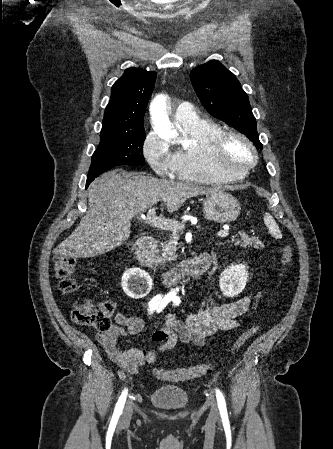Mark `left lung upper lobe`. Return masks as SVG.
<instances>
[{
	"mask_svg": "<svg viewBox=\"0 0 333 449\" xmlns=\"http://www.w3.org/2000/svg\"><path fill=\"white\" fill-rule=\"evenodd\" d=\"M190 78L207 111L243 132L262 150L248 96L236 76L219 61L213 60L194 68Z\"/></svg>",
	"mask_w": 333,
	"mask_h": 449,
	"instance_id": "5c2ea615",
	"label": "left lung upper lobe"
}]
</instances>
